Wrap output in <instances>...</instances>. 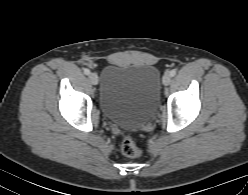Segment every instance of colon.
<instances>
[{
	"mask_svg": "<svg viewBox=\"0 0 248 195\" xmlns=\"http://www.w3.org/2000/svg\"><path fill=\"white\" fill-rule=\"evenodd\" d=\"M121 152L127 157H136L140 154V149L133 137L125 136L121 143Z\"/></svg>",
	"mask_w": 248,
	"mask_h": 195,
	"instance_id": "5ec220e1",
	"label": "colon"
}]
</instances>
